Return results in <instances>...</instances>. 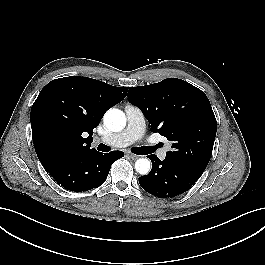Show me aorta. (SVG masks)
Returning a JSON list of instances; mask_svg holds the SVG:
<instances>
[{
	"label": "aorta",
	"instance_id": "aorta-1",
	"mask_svg": "<svg viewBox=\"0 0 265 265\" xmlns=\"http://www.w3.org/2000/svg\"><path fill=\"white\" fill-rule=\"evenodd\" d=\"M104 124L112 132H119L126 125V117L119 109H110L104 114ZM135 169L141 175H146L151 169V163L146 158H140L135 162Z\"/></svg>",
	"mask_w": 265,
	"mask_h": 265
}]
</instances>
